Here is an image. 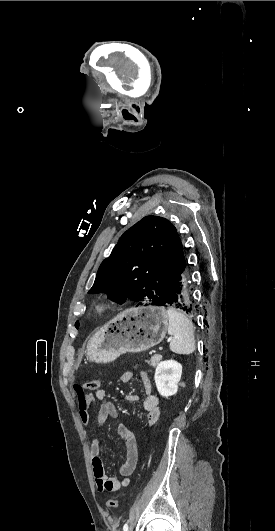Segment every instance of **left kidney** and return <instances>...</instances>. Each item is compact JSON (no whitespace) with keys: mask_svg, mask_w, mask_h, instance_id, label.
Listing matches in <instances>:
<instances>
[{"mask_svg":"<svg viewBox=\"0 0 275 531\" xmlns=\"http://www.w3.org/2000/svg\"><path fill=\"white\" fill-rule=\"evenodd\" d=\"M182 375V365L177 361H161L156 367L154 381L162 397H172L178 391Z\"/></svg>","mask_w":275,"mask_h":531,"instance_id":"5707ae66","label":"left kidney"}]
</instances>
